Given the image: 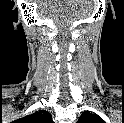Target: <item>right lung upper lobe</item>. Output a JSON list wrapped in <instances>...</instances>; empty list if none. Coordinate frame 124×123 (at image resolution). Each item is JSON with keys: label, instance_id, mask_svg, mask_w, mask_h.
<instances>
[{"label": "right lung upper lobe", "instance_id": "1", "mask_svg": "<svg viewBox=\"0 0 124 123\" xmlns=\"http://www.w3.org/2000/svg\"><path fill=\"white\" fill-rule=\"evenodd\" d=\"M19 123H53L51 114L46 110L36 111L31 115L16 120Z\"/></svg>", "mask_w": 124, "mask_h": 123}]
</instances>
